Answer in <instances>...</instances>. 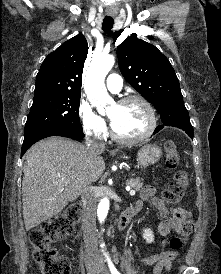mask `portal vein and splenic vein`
Wrapping results in <instances>:
<instances>
[{
    "mask_svg": "<svg viewBox=\"0 0 221 274\" xmlns=\"http://www.w3.org/2000/svg\"><path fill=\"white\" fill-rule=\"evenodd\" d=\"M126 190L129 191V193H130L131 196L135 195V191L132 190V189H130V187H127Z\"/></svg>",
    "mask_w": 221,
    "mask_h": 274,
    "instance_id": "1",
    "label": "portal vein and splenic vein"
}]
</instances>
